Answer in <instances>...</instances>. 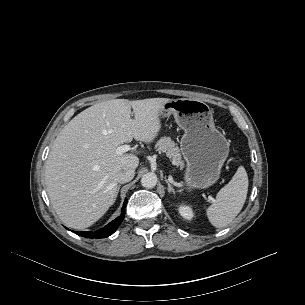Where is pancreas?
Here are the masks:
<instances>
[{
  "instance_id": "pancreas-1",
  "label": "pancreas",
  "mask_w": 305,
  "mask_h": 305,
  "mask_svg": "<svg viewBox=\"0 0 305 305\" xmlns=\"http://www.w3.org/2000/svg\"><path fill=\"white\" fill-rule=\"evenodd\" d=\"M159 152L166 153L172 161V164L183 167L184 163L181 158L180 150L176 143L169 137H162L156 144Z\"/></svg>"
}]
</instances>
